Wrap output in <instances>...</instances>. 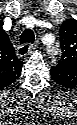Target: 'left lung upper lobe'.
I'll list each match as a JSON object with an SVG mask.
<instances>
[{
    "label": "left lung upper lobe",
    "mask_w": 77,
    "mask_h": 125,
    "mask_svg": "<svg viewBox=\"0 0 77 125\" xmlns=\"http://www.w3.org/2000/svg\"><path fill=\"white\" fill-rule=\"evenodd\" d=\"M60 45L62 48L59 65L77 67V21L69 19L63 22L60 27ZM66 76V75H64ZM72 76L69 75L66 80L57 82L58 84L69 87L72 86Z\"/></svg>",
    "instance_id": "left-lung-upper-lobe-1"
}]
</instances>
